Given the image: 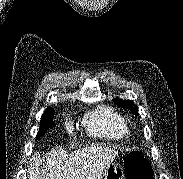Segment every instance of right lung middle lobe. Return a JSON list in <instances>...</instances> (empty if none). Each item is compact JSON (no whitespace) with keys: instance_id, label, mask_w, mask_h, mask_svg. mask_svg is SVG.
<instances>
[{"instance_id":"1","label":"right lung middle lobe","mask_w":183,"mask_h":179,"mask_svg":"<svg viewBox=\"0 0 183 179\" xmlns=\"http://www.w3.org/2000/svg\"><path fill=\"white\" fill-rule=\"evenodd\" d=\"M52 116H54V109L47 108L41 118L40 130L36 136L37 140L40 138V136H43L44 133H46L47 129L52 128L54 126V122L51 119Z\"/></svg>"}]
</instances>
